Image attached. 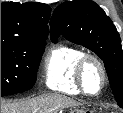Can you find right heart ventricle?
<instances>
[{
  "mask_svg": "<svg viewBox=\"0 0 123 113\" xmlns=\"http://www.w3.org/2000/svg\"><path fill=\"white\" fill-rule=\"evenodd\" d=\"M83 52L71 45L58 44L48 51L45 59L44 82L53 91L72 94L82 91L76 82V65Z\"/></svg>",
  "mask_w": 123,
  "mask_h": 113,
  "instance_id": "obj_1",
  "label": "right heart ventricle"
}]
</instances>
